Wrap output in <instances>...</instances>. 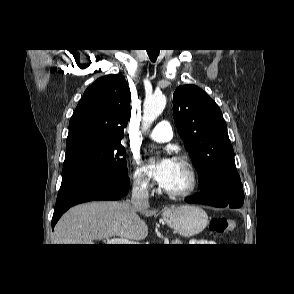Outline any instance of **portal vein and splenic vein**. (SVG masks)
<instances>
[{"label": "portal vein and splenic vein", "mask_w": 294, "mask_h": 294, "mask_svg": "<svg viewBox=\"0 0 294 294\" xmlns=\"http://www.w3.org/2000/svg\"><path fill=\"white\" fill-rule=\"evenodd\" d=\"M105 244H112V245H130V244H138V242H134L129 239L125 238H111V239H104Z\"/></svg>", "instance_id": "obj_1"}]
</instances>
